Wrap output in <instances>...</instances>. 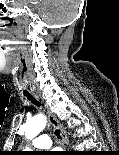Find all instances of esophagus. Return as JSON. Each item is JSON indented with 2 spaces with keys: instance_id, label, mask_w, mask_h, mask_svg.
Masks as SVG:
<instances>
[{
  "instance_id": "obj_1",
  "label": "esophagus",
  "mask_w": 119,
  "mask_h": 155,
  "mask_svg": "<svg viewBox=\"0 0 119 155\" xmlns=\"http://www.w3.org/2000/svg\"><path fill=\"white\" fill-rule=\"evenodd\" d=\"M34 97H35V99L38 102H40L43 105L44 101L42 100L40 94L34 93ZM43 110L46 113L48 122L52 126H54L56 129H59L60 130L61 138H62V145H63L64 150H66V148L68 147V144H69V140H68L67 133L64 130L62 124L56 119V117L51 113L50 109L46 105H44Z\"/></svg>"
}]
</instances>
